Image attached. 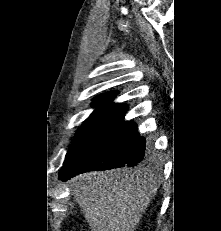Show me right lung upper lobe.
Returning a JSON list of instances; mask_svg holds the SVG:
<instances>
[{"mask_svg": "<svg viewBox=\"0 0 221 231\" xmlns=\"http://www.w3.org/2000/svg\"><path fill=\"white\" fill-rule=\"evenodd\" d=\"M118 92L112 91L107 93H102L94 99H113L117 96Z\"/></svg>", "mask_w": 221, "mask_h": 231, "instance_id": "right-lung-upper-lobe-1", "label": "right lung upper lobe"}]
</instances>
